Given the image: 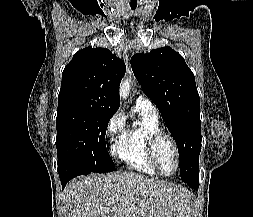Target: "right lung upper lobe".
Wrapping results in <instances>:
<instances>
[{"label":"right lung upper lobe","instance_id":"cb5924a9","mask_svg":"<svg viewBox=\"0 0 253 217\" xmlns=\"http://www.w3.org/2000/svg\"><path fill=\"white\" fill-rule=\"evenodd\" d=\"M125 71L124 62L106 48L79 50L63 70L58 108L80 106L115 113Z\"/></svg>","mask_w":253,"mask_h":217}]
</instances>
